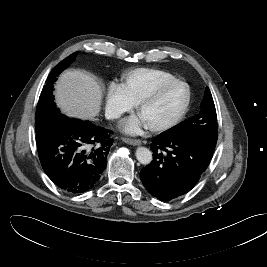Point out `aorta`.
Returning a JSON list of instances; mask_svg holds the SVG:
<instances>
[{
    "label": "aorta",
    "mask_w": 267,
    "mask_h": 267,
    "mask_svg": "<svg viewBox=\"0 0 267 267\" xmlns=\"http://www.w3.org/2000/svg\"><path fill=\"white\" fill-rule=\"evenodd\" d=\"M136 158L141 164L148 165L151 163L153 156L152 152L148 148L138 147L136 149Z\"/></svg>",
    "instance_id": "1"
}]
</instances>
